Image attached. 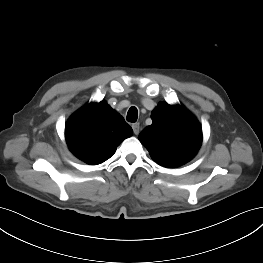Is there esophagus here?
I'll return each mask as SVG.
<instances>
[{"label":"esophagus","instance_id":"esophagus-1","mask_svg":"<svg viewBox=\"0 0 263 263\" xmlns=\"http://www.w3.org/2000/svg\"><path fill=\"white\" fill-rule=\"evenodd\" d=\"M132 129H133L134 134H135V135H138V134H139V131H140L139 123H134V124H132Z\"/></svg>","mask_w":263,"mask_h":263}]
</instances>
